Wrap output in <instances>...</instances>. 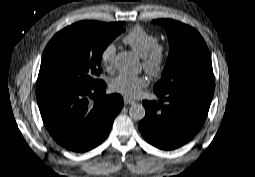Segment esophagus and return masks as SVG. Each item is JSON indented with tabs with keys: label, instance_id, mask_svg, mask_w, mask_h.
I'll use <instances>...</instances> for the list:
<instances>
[{
	"label": "esophagus",
	"instance_id": "34e87169",
	"mask_svg": "<svg viewBox=\"0 0 255 177\" xmlns=\"http://www.w3.org/2000/svg\"><path fill=\"white\" fill-rule=\"evenodd\" d=\"M135 101L134 100H131V99H128V98H124V104L127 105V104H134Z\"/></svg>",
	"mask_w": 255,
	"mask_h": 177
}]
</instances>
